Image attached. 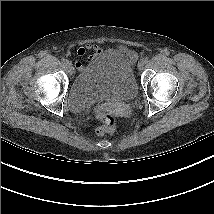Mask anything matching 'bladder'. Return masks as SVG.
Returning <instances> with one entry per match:
<instances>
[{
    "label": "bladder",
    "mask_w": 214,
    "mask_h": 214,
    "mask_svg": "<svg viewBox=\"0 0 214 214\" xmlns=\"http://www.w3.org/2000/svg\"><path fill=\"white\" fill-rule=\"evenodd\" d=\"M137 84L127 57L119 51L103 52L73 80L68 92L69 107L80 112L84 107L106 100H131Z\"/></svg>",
    "instance_id": "31cf9c89"
}]
</instances>
